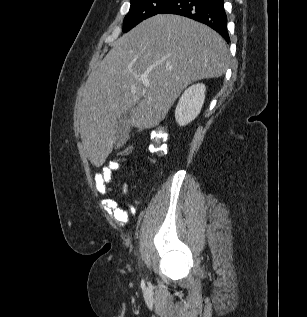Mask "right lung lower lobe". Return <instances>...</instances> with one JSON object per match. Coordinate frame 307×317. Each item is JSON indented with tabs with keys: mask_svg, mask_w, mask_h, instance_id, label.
Returning <instances> with one entry per match:
<instances>
[{
	"mask_svg": "<svg viewBox=\"0 0 307 317\" xmlns=\"http://www.w3.org/2000/svg\"><path fill=\"white\" fill-rule=\"evenodd\" d=\"M159 14H176L194 19L208 25L229 42L224 0H173Z\"/></svg>",
	"mask_w": 307,
	"mask_h": 317,
	"instance_id": "98d812e1",
	"label": "right lung lower lobe"
}]
</instances>
